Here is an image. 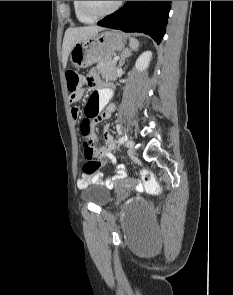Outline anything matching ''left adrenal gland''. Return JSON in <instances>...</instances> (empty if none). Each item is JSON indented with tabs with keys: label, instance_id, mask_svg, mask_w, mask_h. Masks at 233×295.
Masks as SVG:
<instances>
[{
	"label": "left adrenal gland",
	"instance_id": "left-adrenal-gland-1",
	"mask_svg": "<svg viewBox=\"0 0 233 295\" xmlns=\"http://www.w3.org/2000/svg\"><path fill=\"white\" fill-rule=\"evenodd\" d=\"M132 55V49L131 48H126L125 50H123L120 54V62H119V66L122 67L125 63V59L129 56Z\"/></svg>",
	"mask_w": 233,
	"mask_h": 295
}]
</instances>
